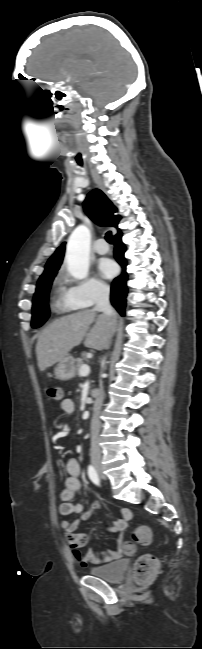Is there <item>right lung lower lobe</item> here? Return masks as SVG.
Returning a JSON list of instances; mask_svg holds the SVG:
<instances>
[{
    "instance_id": "98d812e1",
    "label": "right lung lower lobe",
    "mask_w": 202,
    "mask_h": 649,
    "mask_svg": "<svg viewBox=\"0 0 202 649\" xmlns=\"http://www.w3.org/2000/svg\"><path fill=\"white\" fill-rule=\"evenodd\" d=\"M122 233H118L117 235L114 236V256L116 261L121 265L122 267V273L120 276L116 277L111 285V295H110V301L111 304L117 309V311L124 316L125 315V307H126V297H127V286L126 282L128 279V275L126 273V266L127 262L126 259L124 258V253H125V245L121 241Z\"/></svg>"
}]
</instances>
